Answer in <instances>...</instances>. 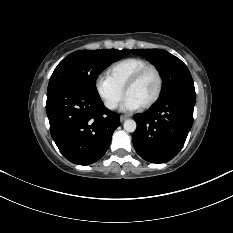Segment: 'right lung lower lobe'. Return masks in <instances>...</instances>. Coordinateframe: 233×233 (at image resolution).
Wrapping results in <instances>:
<instances>
[{
  "mask_svg": "<svg viewBox=\"0 0 233 233\" xmlns=\"http://www.w3.org/2000/svg\"><path fill=\"white\" fill-rule=\"evenodd\" d=\"M46 112L58 149L78 165L99 160L120 124V115L108 110L99 96L73 88L48 90Z\"/></svg>",
  "mask_w": 233,
  "mask_h": 233,
  "instance_id": "1",
  "label": "right lung lower lobe"
}]
</instances>
